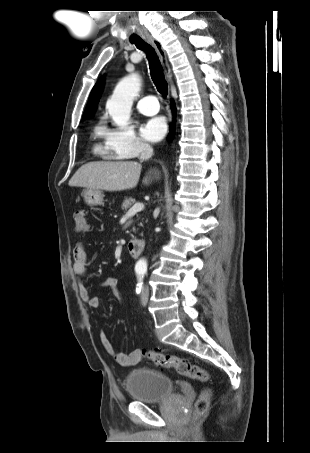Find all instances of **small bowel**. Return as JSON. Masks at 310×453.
Instances as JSON below:
<instances>
[{"label":"small bowel","instance_id":"small-bowel-1","mask_svg":"<svg viewBox=\"0 0 310 453\" xmlns=\"http://www.w3.org/2000/svg\"><path fill=\"white\" fill-rule=\"evenodd\" d=\"M73 273L77 278L78 290L80 297L87 302L92 309L100 307V299L97 296H92L89 289L84 284V277L88 270V251L83 243H78L73 250ZM98 287L109 288L112 290L114 296L121 300V295L118 291V279L116 277H106L97 284ZM100 342L106 353L112 357L119 365L123 367H131L142 361L144 355L142 350L135 349L130 353H123L118 351L111 341L108 339L106 333L101 331L99 334Z\"/></svg>","mask_w":310,"mask_h":453}]
</instances>
